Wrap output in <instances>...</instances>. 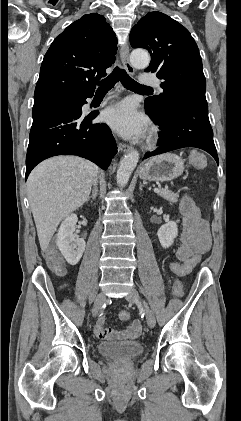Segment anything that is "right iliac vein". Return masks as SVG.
Masks as SVG:
<instances>
[{"mask_svg": "<svg viewBox=\"0 0 241 421\" xmlns=\"http://www.w3.org/2000/svg\"><path fill=\"white\" fill-rule=\"evenodd\" d=\"M106 301V296L104 293H100L97 298L95 299V303L93 306L92 313L93 315H96L98 311L103 307Z\"/></svg>", "mask_w": 241, "mask_h": 421, "instance_id": "obj_1", "label": "right iliac vein"}]
</instances>
